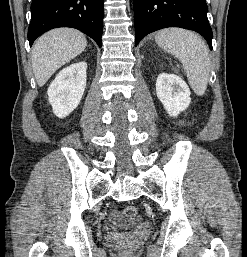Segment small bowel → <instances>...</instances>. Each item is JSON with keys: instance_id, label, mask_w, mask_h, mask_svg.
<instances>
[{"instance_id": "small-bowel-1", "label": "small bowel", "mask_w": 247, "mask_h": 257, "mask_svg": "<svg viewBox=\"0 0 247 257\" xmlns=\"http://www.w3.org/2000/svg\"><path fill=\"white\" fill-rule=\"evenodd\" d=\"M111 219L113 220L114 223L122 225L124 224L123 219L120 217V215L116 212L112 213Z\"/></svg>"}]
</instances>
